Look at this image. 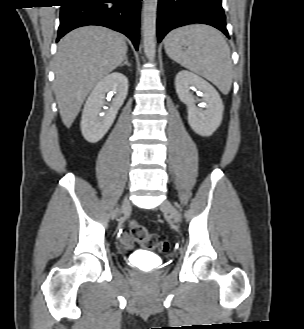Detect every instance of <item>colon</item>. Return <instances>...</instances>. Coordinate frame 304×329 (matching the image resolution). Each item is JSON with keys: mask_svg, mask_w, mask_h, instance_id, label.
<instances>
[{"mask_svg": "<svg viewBox=\"0 0 304 329\" xmlns=\"http://www.w3.org/2000/svg\"><path fill=\"white\" fill-rule=\"evenodd\" d=\"M129 231L132 239L149 250L167 253L170 249V243L160 238L156 233L150 232L142 224L132 221L129 225Z\"/></svg>", "mask_w": 304, "mask_h": 329, "instance_id": "obj_1", "label": "colon"}]
</instances>
